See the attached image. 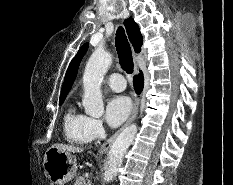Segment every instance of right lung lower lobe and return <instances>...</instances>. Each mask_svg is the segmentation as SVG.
Instances as JSON below:
<instances>
[{
  "instance_id": "right-lung-lower-lobe-1",
  "label": "right lung lower lobe",
  "mask_w": 233,
  "mask_h": 185,
  "mask_svg": "<svg viewBox=\"0 0 233 185\" xmlns=\"http://www.w3.org/2000/svg\"><path fill=\"white\" fill-rule=\"evenodd\" d=\"M134 86L136 92L139 94L143 88V74L140 72L138 75L134 76Z\"/></svg>"
}]
</instances>
